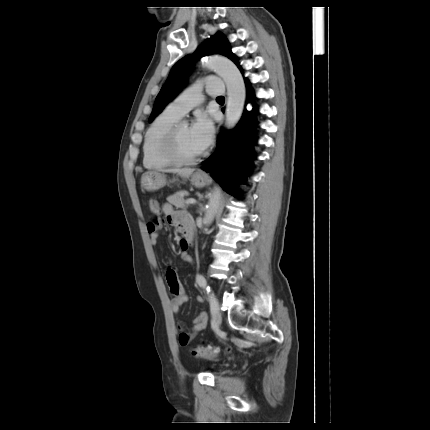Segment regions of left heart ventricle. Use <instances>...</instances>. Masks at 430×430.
Returning a JSON list of instances; mask_svg holds the SVG:
<instances>
[{
	"label": "left heart ventricle",
	"mask_w": 430,
	"mask_h": 430,
	"mask_svg": "<svg viewBox=\"0 0 430 430\" xmlns=\"http://www.w3.org/2000/svg\"><path fill=\"white\" fill-rule=\"evenodd\" d=\"M178 148L180 153L185 157H193L201 152L194 144L190 128L186 125L181 126L179 129Z\"/></svg>",
	"instance_id": "1"
}]
</instances>
